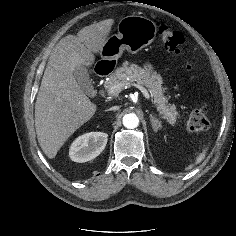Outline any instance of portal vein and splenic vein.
Returning a JSON list of instances; mask_svg holds the SVG:
<instances>
[{"mask_svg": "<svg viewBox=\"0 0 236 236\" xmlns=\"http://www.w3.org/2000/svg\"><path fill=\"white\" fill-rule=\"evenodd\" d=\"M128 84H129V83H126V85H128ZM123 85H124V84L120 83V84H117V85L112 86V87L108 90V94H109V95H112V96L117 95V94L120 92V90H121V88L123 87ZM132 85H133L134 87H136L137 89H139L148 101L151 100V99H150V95H149V93H148V91H147L146 88H144L143 86H141V85H139V84H132Z\"/></svg>", "mask_w": 236, "mask_h": 236, "instance_id": "obj_1", "label": "portal vein and splenic vein"}]
</instances>
